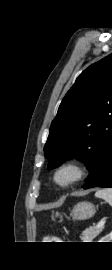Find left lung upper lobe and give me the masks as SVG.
<instances>
[{
	"instance_id": "5c2ea615",
	"label": "left lung upper lobe",
	"mask_w": 112,
	"mask_h": 270,
	"mask_svg": "<svg viewBox=\"0 0 112 270\" xmlns=\"http://www.w3.org/2000/svg\"><path fill=\"white\" fill-rule=\"evenodd\" d=\"M112 145V53L76 79L52 121L44 147L48 168L75 156L84 159L91 180Z\"/></svg>"
}]
</instances>
